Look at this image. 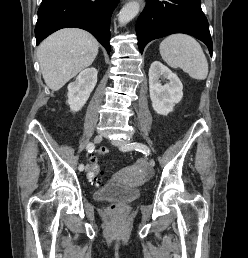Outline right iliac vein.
<instances>
[{
    "label": "right iliac vein",
    "instance_id": "63e3f726",
    "mask_svg": "<svg viewBox=\"0 0 248 258\" xmlns=\"http://www.w3.org/2000/svg\"><path fill=\"white\" fill-rule=\"evenodd\" d=\"M102 139H103V136H102V135H96V136L94 137V142H95V143H100V142L102 141ZM85 171H86V172L89 171L88 165L85 167Z\"/></svg>",
    "mask_w": 248,
    "mask_h": 258
}]
</instances>
